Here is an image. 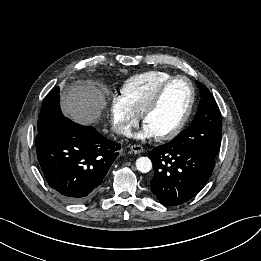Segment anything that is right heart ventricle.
I'll use <instances>...</instances> for the list:
<instances>
[{
  "label": "right heart ventricle",
  "mask_w": 261,
  "mask_h": 261,
  "mask_svg": "<svg viewBox=\"0 0 261 261\" xmlns=\"http://www.w3.org/2000/svg\"><path fill=\"white\" fill-rule=\"evenodd\" d=\"M174 74L162 70H151L128 78L122 85L121 94L132 109L142 115L159 88Z\"/></svg>",
  "instance_id": "e07e8e85"
}]
</instances>
